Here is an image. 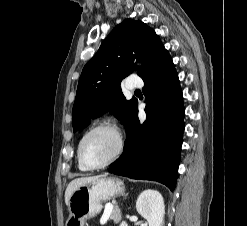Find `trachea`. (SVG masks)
Wrapping results in <instances>:
<instances>
[{"label":"trachea","instance_id":"obj_1","mask_svg":"<svg viewBox=\"0 0 247 226\" xmlns=\"http://www.w3.org/2000/svg\"><path fill=\"white\" fill-rule=\"evenodd\" d=\"M136 92H140V90H136Z\"/></svg>","mask_w":247,"mask_h":226}]
</instances>
